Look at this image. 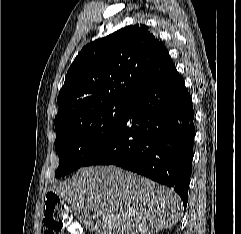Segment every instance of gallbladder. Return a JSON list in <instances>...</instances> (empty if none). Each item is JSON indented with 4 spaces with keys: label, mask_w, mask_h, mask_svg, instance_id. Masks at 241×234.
<instances>
[{
    "label": "gallbladder",
    "mask_w": 241,
    "mask_h": 234,
    "mask_svg": "<svg viewBox=\"0 0 241 234\" xmlns=\"http://www.w3.org/2000/svg\"><path fill=\"white\" fill-rule=\"evenodd\" d=\"M78 219L85 224L86 227L92 229L90 224L92 222L91 216L87 214L84 210L74 211Z\"/></svg>",
    "instance_id": "gallbladder-1"
}]
</instances>
